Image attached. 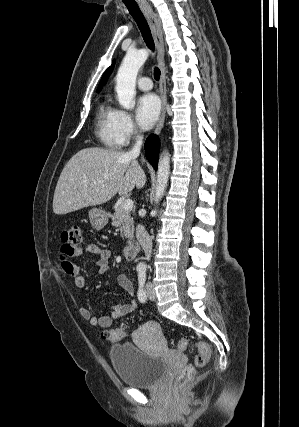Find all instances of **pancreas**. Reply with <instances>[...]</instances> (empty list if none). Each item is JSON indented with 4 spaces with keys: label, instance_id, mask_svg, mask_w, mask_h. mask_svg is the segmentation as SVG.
Listing matches in <instances>:
<instances>
[{
    "label": "pancreas",
    "instance_id": "cf45deb5",
    "mask_svg": "<svg viewBox=\"0 0 299 427\" xmlns=\"http://www.w3.org/2000/svg\"><path fill=\"white\" fill-rule=\"evenodd\" d=\"M112 225L119 227L122 237L130 240L133 239L134 221L130 215V211L124 210L121 204L115 208L114 215L112 216Z\"/></svg>",
    "mask_w": 299,
    "mask_h": 427
}]
</instances>
